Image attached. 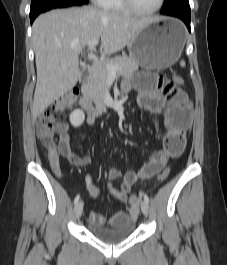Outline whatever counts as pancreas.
I'll use <instances>...</instances> for the list:
<instances>
[{
	"label": "pancreas",
	"instance_id": "obj_1",
	"mask_svg": "<svg viewBox=\"0 0 227 265\" xmlns=\"http://www.w3.org/2000/svg\"><path fill=\"white\" fill-rule=\"evenodd\" d=\"M108 65L119 66L121 69L117 74L124 77H129L138 70V63L127 56H116L95 64L92 68L90 81L86 86V93L98 106L103 105L107 91Z\"/></svg>",
	"mask_w": 227,
	"mask_h": 265
}]
</instances>
